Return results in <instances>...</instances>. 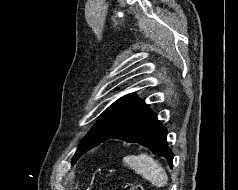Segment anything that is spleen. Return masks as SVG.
<instances>
[{
  "label": "spleen",
  "instance_id": "3e777b00",
  "mask_svg": "<svg viewBox=\"0 0 238 190\" xmlns=\"http://www.w3.org/2000/svg\"><path fill=\"white\" fill-rule=\"evenodd\" d=\"M123 161L152 185L163 187L167 184L168 176L165 169L149 155L126 156Z\"/></svg>",
  "mask_w": 238,
  "mask_h": 190
}]
</instances>
